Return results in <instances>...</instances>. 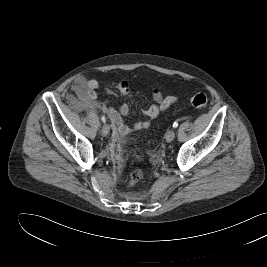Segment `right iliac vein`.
Returning a JSON list of instances; mask_svg holds the SVG:
<instances>
[{
  "mask_svg": "<svg viewBox=\"0 0 267 267\" xmlns=\"http://www.w3.org/2000/svg\"><path fill=\"white\" fill-rule=\"evenodd\" d=\"M110 127L108 124H104L101 129V133L103 136H107L109 134Z\"/></svg>",
  "mask_w": 267,
  "mask_h": 267,
  "instance_id": "1",
  "label": "right iliac vein"
}]
</instances>
